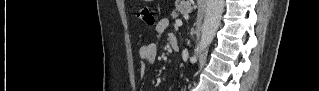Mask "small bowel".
<instances>
[{
	"label": "small bowel",
	"instance_id": "c3829d8e",
	"mask_svg": "<svg viewBox=\"0 0 319 91\" xmlns=\"http://www.w3.org/2000/svg\"><path fill=\"white\" fill-rule=\"evenodd\" d=\"M169 27V20L167 18L160 19L155 28V34L158 36L165 32ZM158 54L157 45L154 42H145L139 49V57L141 60V73L145 72L146 64H153L156 62Z\"/></svg>",
	"mask_w": 319,
	"mask_h": 91
}]
</instances>
